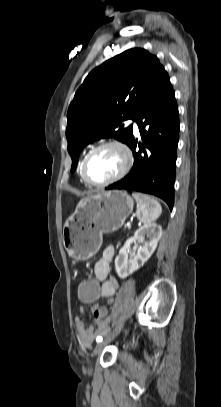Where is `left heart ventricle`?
Masks as SVG:
<instances>
[{"instance_id":"b2bd125f","label":"left heart ventricle","mask_w":221,"mask_h":407,"mask_svg":"<svg viewBox=\"0 0 221 407\" xmlns=\"http://www.w3.org/2000/svg\"><path fill=\"white\" fill-rule=\"evenodd\" d=\"M124 163V155L118 148L107 147L92 156L88 162L87 173L91 180L103 182L116 176Z\"/></svg>"}]
</instances>
